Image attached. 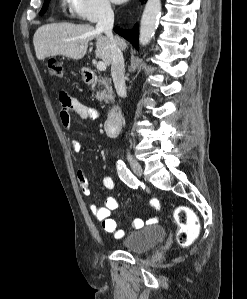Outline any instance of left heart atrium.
I'll return each instance as SVG.
<instances>
[{
    "instance_id": "1",
    "label": "left heart atrium",
    "mask_w": 247,
    "mask_h": 299,
    "mask_svg": "<svg viewBox=\"0 0 247 299\" xmlns=\"http://www.w3.org/2000/svg\"><path fill=\"white\" fill-rule=\"evenodd\" d=\"M113 1L116 2V3H122V2H124L126 0H113Z\"/></svg>"
}]
</instances>
